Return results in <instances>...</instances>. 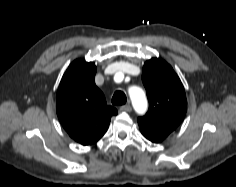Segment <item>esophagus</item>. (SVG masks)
<instances>
[{"label":"esophagus","instance_id":"1","mask_svg":"<svg viewBox=\"0 0 236 187\" xmlns=\"http://www.w3.org/2000/svg\"><path fill=\"white\" fill-rule=\"evenodd\" d=\"M131 110H132V107L130 105H123L120 107V111L130 112Z\"/></svg>","mask_w":236,"mask_h":187}]
</instances>
